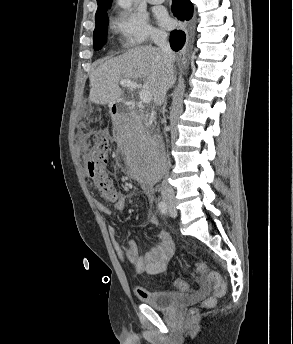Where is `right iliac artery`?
Instances as JSON below:
<instances>
[{
  "label": "right iliac artery",
  "instance_id": "right-iliac-artery-1",
  "mask_svg": "<svg viewBox=\"0 0 293 344\" xmlns=\"http://www.w3.org/2000/svg\"><path fill=\"white\" fill-rule=\"evenodd\" d=\"M158 208L160 210V212L164 215L167 214V211H168V207H167V204L164 202V201H160L158 203Z\"/></svg>",
  "mask_w": 293,
  "mask_h": 344
}]
</instances>
